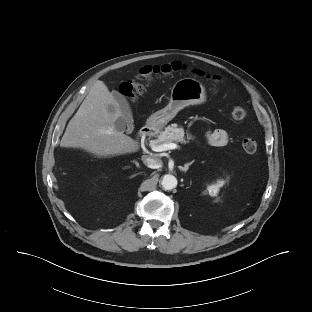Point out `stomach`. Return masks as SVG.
<instances>
[{"label":"stomach","mask_w":312,"mask_h":312,"mask_svg":"<svg viewBox=\"0 0 312 312\" xmlns=\"http://www.w3.org/2000/svg\"><path fill=\"white\" fill-rule=\"evenodd\" d=\"M205 101L206 91L201 82L193 78L180 79L171 89L168 105L153 113L148 118L147 125L153 129H160L185 107L203 104Z\"/></svg>","instance_id":"obj_1"}]
</instances>
